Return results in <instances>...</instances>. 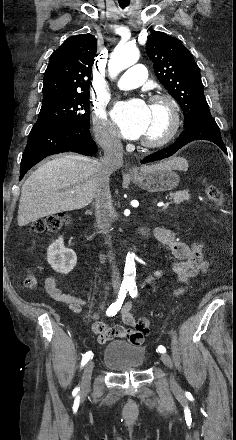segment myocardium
<instances>
[{"mask_svg":"<svg viewBox=\"0 0 236 440\" xmlns=\"http://www.w3.org/2000/svg\"><path fill=\"white\" fill-rule=\"evenodd\" d=\"M150 104H162L169 113V125L162 136L158 138H143L141 140V144L144 147L158 148L171 142L177 135L181 123L180 111L175 99L166 93H158L151 96Z\"/></svg>","mask_w":236,"mask_h":440,"instance_id":"f54148a6","label":"myocardium"}]
</instances>
